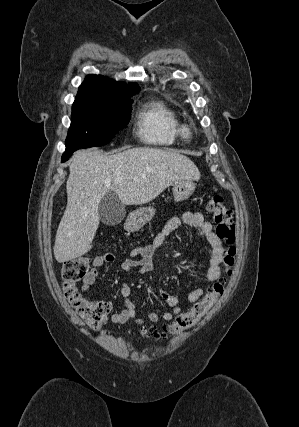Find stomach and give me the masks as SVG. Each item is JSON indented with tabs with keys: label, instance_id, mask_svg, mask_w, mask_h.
<instances>
[{
	"label": "stomach",
	"instance_id": "obj_1",
	"mask_svg": "<svg viewBox=\"0 0 299 427\" xmlns=\"http://www.w3.org/2000/svg\"><path fill=\"white\" fill-rule=\"evenodd\" d=\"M196 184L193 180H181L173 184V197L176 202L187 200L194 192ZM155 208L146 206L131 212L127 218L126 225L129 230H138L152 220Z\"/></svg>",
	"mask_w": 299,
	"mask_h": 427
}]
</instances>
